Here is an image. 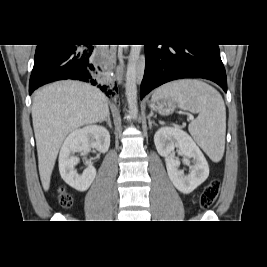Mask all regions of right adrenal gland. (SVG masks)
Wrapping results in <instances>:
<instances>
[{"mask_svg": "<svg viewBox=\"0 0 267 267\" xmlns=\"http://www.w3.org/2000/svg\"><path fill=\"white\" fill-rule=\"evenodd\" d=\"M104 121L107 123L108 127L110 129H112V123H111V119H110V113H108V116H107V118Z\"/></svg>", "mask_w": 267, "mask_h": 267, "instance_id": "right-adrenal-gland-1", "label": "right adrenal gland"}]
</instances>
